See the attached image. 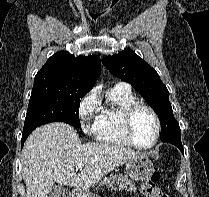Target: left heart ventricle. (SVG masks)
<instances>
[{
	"mask_svg": "<svg viewBox=\"0 0 209 197\" xmlns=\"http://www.w3.org/2000/svg\"><path fill=\"white\" fill-rule=\"evenodd\" d=\"M132 134L135 141L142 145L150 144L155 135V122L151 113L138 109L133 115Z\"/></svg>",
	"mask_w": 209,
	"mask_h": 197,
	"instance_id": "1",
	"label": "left heart ventricle"
}]
</instances>
